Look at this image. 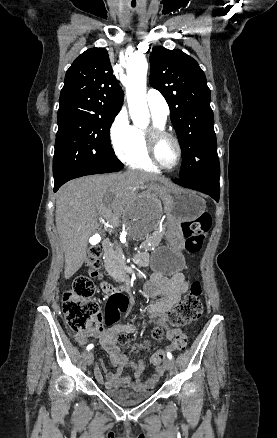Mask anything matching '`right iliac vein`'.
Masks as SVG:
<instances>
[{
  "mask_svg": "<svg viewBox=\"0 0 277 438\" xmlns=\"http://www.w3.org/2000/svg\"><path fill=\"white\" fill-rule=\"evenodd\" d=\"M93 361H94V354L92 351H89L86 354V363L90 366L93 363Z\"/></svg>",
  "mask_w": 277,
  "mask_h": 438,
  "instance_id": "obj_1",
  "label": "right iliac vein"
}]
</instances>
